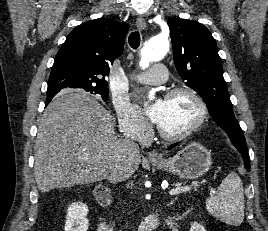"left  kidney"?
<instances>
[{
  "mask_svg": "<svg viewBox=\"0 0 268 231\" xmlns=\"http://www.w3.org/2000/svg\"><path fill=\"white\" fill-rule=\"evenodd\" d=\"M190 231H206L205 228L197 222L192 223Z\"/></svg>",
  "mask_w": 268,
  "mask_h": 231,
  "instance_id": "obj_1",
  "label": "left kidney"
}]
</instances>
